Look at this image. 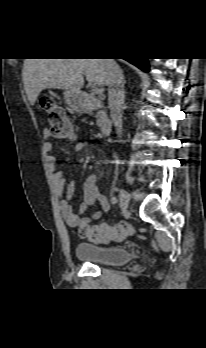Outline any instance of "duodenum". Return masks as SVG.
<instances>
[{
    "label": "duodenum",
    "instance_id": "410a0bca",
    "mask_svg": "<svg viewBox=\"0 0 206 348\" xmlns=\"http://www.w3.org/2000/svg\"><path fill=\"white\" fill-rule=\"evenodd\" d=\"M81 100L86 111L99 110L101 112L99 116L101 132L104 135L110 134L113 130V124L104 111V104L99 99L89 95L81 98Z\"/></svg>",
    "mask_w": 206,
    "mask_h": 348
}]
</instances>
